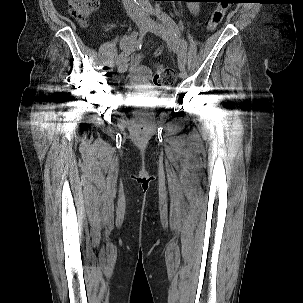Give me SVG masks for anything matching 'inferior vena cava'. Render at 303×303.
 Returning a JSON list of instances; mask_svg holds the SVG:
<instances>
[{
  "instance_id": "inferior-vena-cava-1",
  "label": "inferior vena cava",
  "mask_w": 303,
  "mask_h": 303,
  "mask_svg": "<svg viewBox=\"0 0 303 303\" xmlns=\"http://www.w3.org/2000/svg\"><path fill=\"white\" fill-rule=\"evenodd\" d=\"M122 3L132 20L144 17L142 10L138 6L137 0H122Z\"/></svg>"
}]
</instances>
